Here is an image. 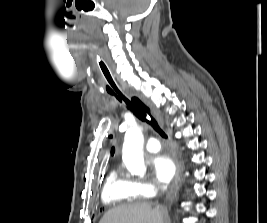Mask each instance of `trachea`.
<instances>
[{"label":"trachea","instance_id":"obj_1","mask_svg":"<svg viewBox=\"0 0 267 223\" xmlns=\"http://www.w3.org/2000/svg\"><path fill=\"white\" fill-rule=\"evenodd\" d=\"M102 72L106 78L107 83L113 88L112 95L120 102L124 101L125 104L133 110L136 117L142 122L149 124L161 137L167 138L166 133L161 129L156 119L151 115L150 109L137 97H132L129 100L122 92L118 82L111 75L106 65H101Z\"/></svg>","mask_w":267,"mask_h":223}]
</instances>
